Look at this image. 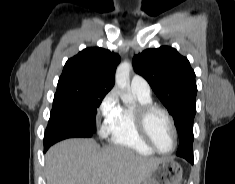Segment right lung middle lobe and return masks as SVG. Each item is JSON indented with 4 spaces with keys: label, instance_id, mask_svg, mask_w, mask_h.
Returning <instances> with one entry per match:
<instances>
[{
    "label": "right lung middle lobe",
    "instance_id": "right-lung-middle-lobe-1",
    "mask_svg": "<svg viewBox=\"0 0 235 184\" xmlns=\"http://www.w3.org/2000/svg\"><path fill=\"white\" fill-rule=\"evenodd\" d=\"M108 90L96 87L57 90L53 100V113L64 114L85 128L82 134L66 133L59 140L71 137H91L95 131V115Z\"/></svg>",
    "mask_w": 235,
    "mask_h": 184
}]
</instances>
